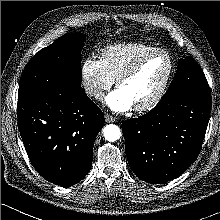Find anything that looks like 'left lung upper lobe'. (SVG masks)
<instances>
[{
    "label": "left lung upper lobe",
    "instance_id": "obj_1",
    "mask_svg": "<svg viewBox=\"0 0 220 220\" xmlns=\"http://www.w3.org/2000/svg\"><path fill=\"white\" fill-rule=\"evenodd\" d=\"M205 90H209V86L202 69L193 58L187 56L185 59L179 60L174 79L159 103Z\"/></svg>",
    "mask_w": 220,
    "mask_h": 220
}]
</instances>
